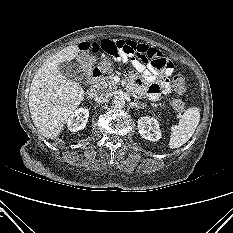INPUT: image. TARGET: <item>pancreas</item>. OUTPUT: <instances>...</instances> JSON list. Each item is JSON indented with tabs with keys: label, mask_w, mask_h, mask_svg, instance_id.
Here are the masks:
<instances>
[{
	"label": "pancreas",
	"mask_w": 233,
	"mask_h": 233,
	"mask_svg": "<svg viewBox=\"0 0 233 233\" xmlns=\"http://www.w3.org/2000/svg\"><path fill=\"white\" fill-rule=\"evenodd\" d=\"M114 75V73H110L100 81L102 89H105L108 92H112L117 89V85L113 81Z\"/></svg>",
	"instance_id": "1"
}]
</instances>
